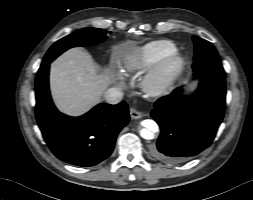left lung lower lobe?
Returning a JSON list of instances; mask_svg holds the SVG:
<instances>
[{
	"mask_svg": "<svg viewBox=\"0 0 253 200\" xmlns=\"http://www.w3.org/2000/svg\"><path fill=\"white\" fill-rule=\"evenodd\" d=\"M199 87L192 97L179 87L154 104L152 118L161 133L151 147L154 158L180 163L206 149L213 141L225 110V78L199 76Z\"/></svg>",
	"mask_w": 253,
	"mask_h": 200,
	"instance_id": "1",
	"label": "left lung lower lobe"
}]
</instances>
